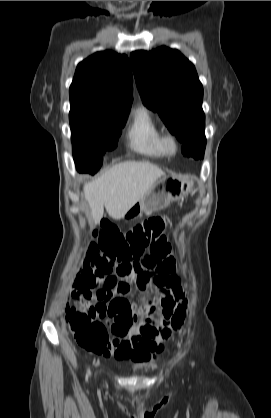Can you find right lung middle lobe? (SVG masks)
I'll return each mask as SVG.
<instances>
[{"label":"right lung middle lobe","instance_id":"dd1d6c3e","mask_svg":"<svg viewBox=\"0 0 271 418\" xmlns=\"http://www.w3.org/2000/svg\"><path fill=\"white\" fill-rule=\"evenodd\" d=\"M127 116V113H108L71 106L69 119L73 156L79 171L92 174L98 171L102 165V154L117 146Z\"/></svg>","mask_w":271,"mask_h":418}]
</instances>
